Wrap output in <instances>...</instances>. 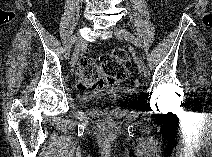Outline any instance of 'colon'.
I'll list each match as a JSON object with an SVG mask.
<instances>
[{
    "mask_svg": "<svg viewBox=\"0 0 212 157\" xmlns=\"http://www.w3.org/2000/svg\"><path fill=\"white\" fill-rule=\"evenodd\" d=\"M129 57L121 48H114L100 57L99 64L88 60L81 68L78 76V87L101 88L106 84L122 82L128 75Z\"/></svg>",
    "mask_w": 212,
    "mask_h": 157,
    "instance_id": "1",
    "label": "colon"
}]
</instances>
